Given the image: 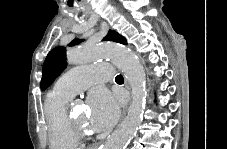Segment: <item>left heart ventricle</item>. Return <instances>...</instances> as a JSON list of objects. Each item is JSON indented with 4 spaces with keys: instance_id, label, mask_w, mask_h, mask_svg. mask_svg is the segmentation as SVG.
Returning a JSON list of instances; mask_svg holds the SVG:
<instances>
[{
    "instance_id": "b2bd125f",
    "label": "left heart ventricle",
    "mask_w": 227,
    "mask_h": 149,
    "mask_svg": "<svg viewBox=\"0 0 227 149\" xmlns=\"http://www.w3.org/2000/svg\"><path fill=\"white\" fill-rule=\"evenodd\" d=\"M72 118L77 121L78 123H80L83 126H86V122H87V117L84 111H77L72 115Z\"/></svg>"
}]
</instances>
